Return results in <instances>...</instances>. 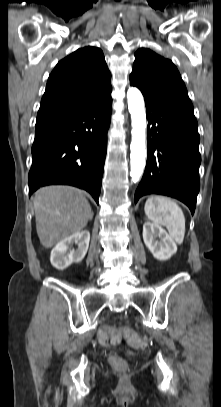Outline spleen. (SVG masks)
Masks as SVG:
<instances>
[{
    "label": "spleen",
    "instance_id": "obj_1",
    "mask_svg": "<svg viewBox=\"0 0 221 407\" xmlns=\"http://www.w3.org/2000/svg\"><path fill=\"white\" fill-rule=\"evenodd\" d=\"M145 214L155 224L165 226L170 236L181 244L185 236V217L176 202L165 196H151L145 203Z\"/></svg>",
    "mask_w": 221,
    "mask_h": 407
}]
</instances>
